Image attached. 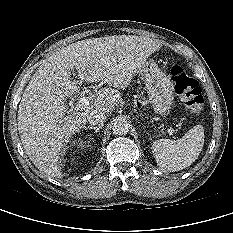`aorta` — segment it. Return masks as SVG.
I'll use <instances>...</instances> for the list:
<instances>
[{
    "label": "aorta",
    "instance_id": "762f6f07",
    "mask_svg": "<svg viewBox=\"0 0 233 233\" xmlns=\"http://www.w3.org/2000/svg\"><path fill=\"white\" fill-rule=\"evenodd\" d=\"M130 123L123 117H118L112 122V130L116 135H125L129 132Z\"/></svg>",
    "mask_w": 233,
    "mask_h": 233
}]
</instances>
